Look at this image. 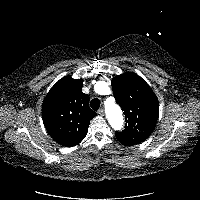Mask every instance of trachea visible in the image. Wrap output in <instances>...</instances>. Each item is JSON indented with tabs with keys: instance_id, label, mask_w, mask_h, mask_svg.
I'll return each mask as SVG.
<instances>
[{
	"instance_id": "trachea-1",
	"label": "trachea",
	"mask_w": 200,
	"mask_h": 200,
	"mask_svg": "<svg viewBox=\"0 0 200 200\" xmlns=\"http://www.w3.org/2000/svg\"><path fill=\"white\" fill-rule=\"evenodd\" d=\"M90 106L93 110L97 111L100 107V100L97 98H94L90 102Z\"/></svg>"
}]
</instances>
